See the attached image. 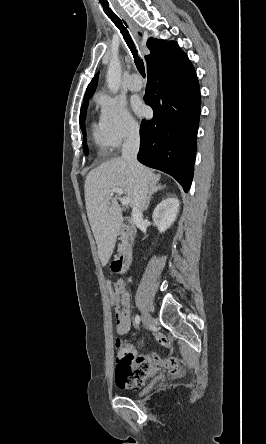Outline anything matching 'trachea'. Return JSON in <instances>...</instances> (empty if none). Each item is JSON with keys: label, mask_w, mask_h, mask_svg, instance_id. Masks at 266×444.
Returning a JSON list of instances; mask_svg holds the SVG:
<instances>
[{"label": "trachea", "mask_w": 266, "mask_h": 444, "mask_svg": "<svg viewBox=\"0 0 266 444\" xmlns=\"http://www.w3.org/2000/svg\"><path fill=\"white\" fill-rule=\"evenodd\" d=\"M101 5H102L106 15L111 19V21L115 24V26L120 30V32H121V34H122V36H123V38H124L128 48L130 49V51H131V53L133 55L135 65H136L139 73L143 77H145L146 74H145L144 62L139 57L138 50L136 49L135 44H134V42H133V40H132V38H131L128 30H127V28L123 25V23L120 20V18L116 14H114L111 9H109V7H108L109 4L108 3H101Z\"/></svg>", "instance_id": "1"}]
</instances>
